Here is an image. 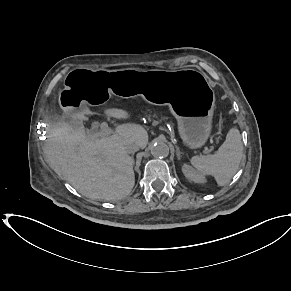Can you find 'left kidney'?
I'll use <instances>...</instances> for the list:
<instances>
[{"label":"left kidney","instance_id":"1","mask_svg":"<svg viewBox=\"0 0 291 291\" xmlns=\"http://www.w3.org/2000/svg\"><path fill=\"white\" fill-rule=\"evenodd\" d=\"M182 172L184 173L185 177L190 181L195 183H204L205 177L204 174L195 171L191 166L184 164L182 167Z\"/></svg>","mask_w":291,"mask_h":291}]
</instances>
